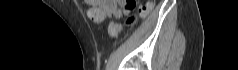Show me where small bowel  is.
I'll return each instance as SVG.
<instances>
[{
	"instance_id": "c3829d8e",
	"label": "small bowel",
	"mask_w": 238,
	"mask_h": 70,
	"mask_svg": "<svg viewBox=\"0 0 238 70\" xmlns=\"http://www.w3.org/2000/svg\"><path fill=\"white\" fill-rule=\"evenodd\" d=\"M86 3L89 5L87 17L95 23L102 22L106 17L119 19L130 12L124 0H87Z\"/></svg>"
}]
</instances>
